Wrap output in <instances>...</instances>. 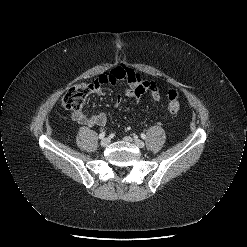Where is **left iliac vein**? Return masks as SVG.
<instances>
[{
    "label": "left iliac vein",
    "mask_w": 247,
    "mask_h": 247,
    "mask_svg": "<svg viewBox=\"0 0 247 247\" xmlns=\"http://www.w3.org/2000/svg\"><path fill=\"white\" fill-rule=\"evenodd\" d=\"M124 140L127 142H134V144L139 147V148H143L145 146V143L139 139H133L130 136H125Z\"/></svg>",
    "instance_id": "obj_1"
}]
</instances>
